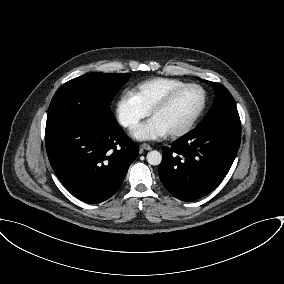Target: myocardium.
Instances as JSON below:
<instances>
[{"instance_id": "myocardium-1", "label": "myocardium", "mask_w": 284, "mask_h": 284, "mask_svg": "<svg viewBox=\"0 0 284 284\" xmlns=\"http://www.w3.org/2000/svg\"><path fill=\"white\" fill-rule=\"evenodd\" d=\"M189 88H197L201 91L202 93V102L196 113L193 115V117L181 128L170 131L166 133L167 136L175 138V137H181L187 133H189L200 117L202 116L206 104H207V92L203 86L197 83H186L185 85H182L180 87H177L176 89L172 90L170 93H168L163 99H161L158 103H156L153 108L150 110V115L153 116L156 112L161 111L168 107L174 100L175 98L183 91L189 89Z\"/></svg>"}]
</instances>
